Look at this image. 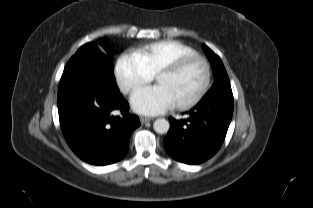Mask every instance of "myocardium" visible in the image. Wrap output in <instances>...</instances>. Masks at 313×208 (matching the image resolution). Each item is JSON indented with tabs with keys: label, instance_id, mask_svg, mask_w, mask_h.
Returning <instances> with one entry per match:
<instances>
[{
	"label": "myocardium",
	"instance_id": "myocardium-1",
	"mask_svg": "<svg viewBox=\"0 0 313 208\" xmlns=\"http://www.w3.org/2000/svg\"><path fill=\"white\" fill-rule=\"evenodd\" d=\"M193 62H199L202 65L204 70V80L199 91L193 97L175 104V107L180 110L193 107L199 103L207 93L211 83V67L207 59L198 54L183 56L167 65H164L155 74V79L162 74H176Z\"/></svg>",
	"mask_w": 313,
	"mask_h": 208
}]
</instances>
